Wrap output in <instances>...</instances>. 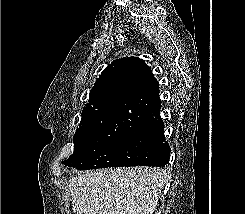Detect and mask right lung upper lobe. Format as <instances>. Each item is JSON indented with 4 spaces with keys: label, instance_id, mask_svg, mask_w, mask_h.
<instances>
[{
    "label": "right lung upper lobe",
    "instance_id": "cb5924a9",
    "mask_svg": "<svg viewBox=\"0 0 245 214\" xmlns=\"http://www.w3.org/2000/svg\"><path fill=\"white\" fill-rule=\"evenodd\" d=\"M157 92L159 84L142 59L132 56L114 60L91 89L75 134H103L133 126L140 116L141 99Z\"/></svg>",
    "mask_w": 245,
    "mask_h": 214
}]
</instances>
